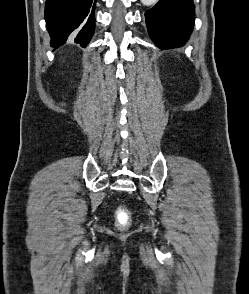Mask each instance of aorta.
I'll return each mask as SVG.
<instances>
[{
  "label": "aorta",
  "instance_id": "aorta-1",
  "mask_svg": "<svg viewBox=\"0 0 249 294\" xmlns=\"http://www.w3.org/2000/svg\"><path fill=\"white\" fill-rule=\"evenodd\" d=\"M143 5L151 6L158 2V0H140Z\"/></svg>",
  "mask_w": 249,
  "mask_h": 294
}]
</instances>
